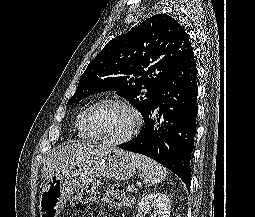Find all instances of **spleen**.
<instances>
[{"mask_svg":"<svg viewBox=\"0 0 255 217\" xmlns=\"http://www.w3.org/2000/svg\"><path fill=\"white\" fill-rule=\"evenodd\" d=\"M129 157L135 167L143 174V180L146 185L157 184L167 176L166 168L151 158L135 153H129Z\"/></svg>","mask_w":255,"mask_h":217,"instance_id":"spleen-1","label":"spleen"}]
</instances>
